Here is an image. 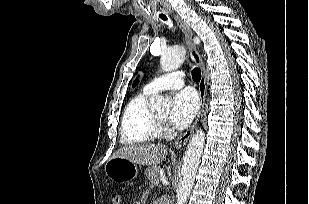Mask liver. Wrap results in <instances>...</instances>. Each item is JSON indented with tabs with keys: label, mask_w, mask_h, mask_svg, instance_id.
<instances>
[{
	"label": "liver",
	"mask_w": 309,
	"mask_h": 204,
	"mask_svg": "<svg viewBox=\"0 0 309 204\" xmlns=\"http://www.w3.org/2000/svg\"><path fill=\"white\" fill-rule=\"evenodd\" d=\"M165 145L134 144L118 149L112 158H124L135 164L157 166L167 155Z\"/></svg>",
	"instance_id": "obj_1"
}]
</instances>
